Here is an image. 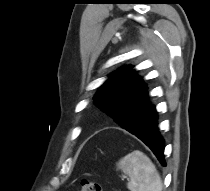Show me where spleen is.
Listing matches in <instances>:
<instances>
[{
  "instance_id": "spleen-1",
  "label": "spleen",
  "mask_w": 210,
  "mask_h": 191,
  "mask_svg": "<svg viewBox=\"0 0 210 191\" xmlns=\"http://www.w3.org/2000/svg\"><path fill=\"white\" fill-rule=\"evenodd\" d=\"M117 166L129 176L127 188L130 191H162L160 175L143 152L136 150L127 154Z\"/></svg>"
}]
</instances>
